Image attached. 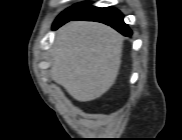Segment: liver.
I'll return each instance as SVG.
<instances>
[{
    "mask_svg": "<svg viewBox=\"0 0 182 140\" xmlns=\"http://www.w3.org/2000/svg\"><path fill=\"white\" fill-rule=\"evenodd\" d=\"M123 37L95 22H69L56 34L51 78L76 100L92 101L114 84Z\"/></svg>",
    "mask_w": 182,
    "mask_h": 140,
    "instance_id": "obj_1",
    "label": "liver"
}]
</instances>
